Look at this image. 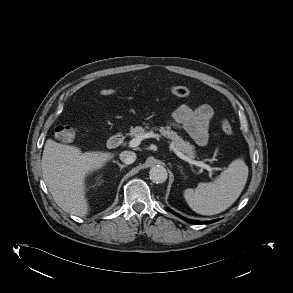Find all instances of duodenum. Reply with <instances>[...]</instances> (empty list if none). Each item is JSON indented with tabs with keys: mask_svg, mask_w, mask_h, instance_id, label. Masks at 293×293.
I'll return each instance as SVG.
<instances>
[{
	"mask_svg": "<svg viewBox=\"0 0 293 293\" xmlns=\"http://www.w3.org/2000/svg\"><path fill=\"white\" fill-rule=\"evenodd\" d=\"M124 137L122 134L112 135L108 141L107 146L109 149H116L123 143Z\"/></svg>",
	"mask_w": 293,
	"mask_h": 293,
	"instance_id": "1",
	"label": "duodenum"
}]
</instances>
